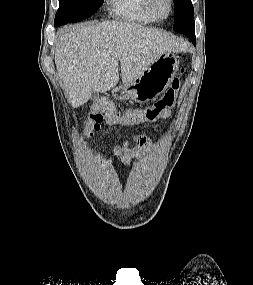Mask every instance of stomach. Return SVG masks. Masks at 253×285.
Returning <instances> with one entry per match:
<instances>
[{"label": "stomach", "mask_w": 253, "mask_h": 285, "mask_svg": "<svg viewBox=\"0 0 253 285\" xmlns=\"http://www.w3.org/2000/svg\"><path fill=\"white\" fill-rule=\"evenodd\" d=\"M178 70V60L171 53H165L136 79L112 89L117 100L132 99L138 103L154 100L173 81Z\"/></svg>", "instance_id": "0dacf381"}]
</instances>
